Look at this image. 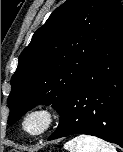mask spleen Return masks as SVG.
<instances>
[{
  "instance_id": "spleen-1",
  "label": "spleen",
  "mask_w": 123,
  "mask_h": 152,
  "mask_svg": "<svg viewBox=\"0 0 123 152\" xmlns=\"http://www.w3.org/2000/svg\"><path fill=\"white\" fill-rule=\"evenodd\" d=\"M69 152H117L115 147L102 139L81 134L65 144Z\"/></svg>"
}]
</instances>
